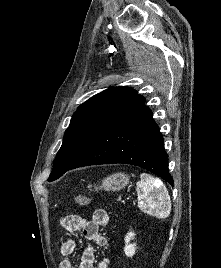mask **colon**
Masks as SVG:
<instances>
[{
	"label": "colon",
	"mask_w": 221,
	"mask_h": 268,
	"mask_svg": "<svg viewBox=\"0 0 221 268\" xmlns=\"http://www.w3.org/2000/svg\"><path fill=\"white\" fill-rule=\"evenodd\" d=\"M90 201H91V199L87 196H76L73 199L74 204L81 205V206L89 204Z\"/></svg>",
	"instance_id": "5ec220e1"
}]
</instances>
